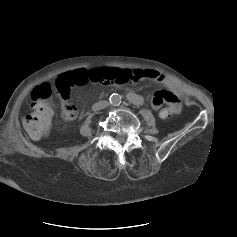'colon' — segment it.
<instances>
[{
    "label": "colon",
    "mask_w": 237,
    "mask_h": 237,
    "mask_svg": "<svg viewBox=\"0 0 237 237\" xmlns=\"http://www.w3.org/2000/svg\"><path fill=\"white\" fill-rule=\"evenodd\" d=\"M129 78L118 69H91L76 70L58 77L53 83H43L32 92V111L23 120V125L33 139L45 136L51 127L53 110L50 100L53 95L59 96L65 101L64 111L68 116L77 113L75 105L67 101L70 90L73 86L84 85L89 82L103 83L115 82L125 84ZM159 117L165 120L175 114L171 107L163 108L159 111Z\"/></svg>",
    "instance_id": "5ec220e1"
}]
</instances>
